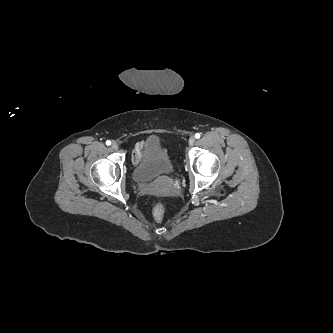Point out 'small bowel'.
Segmentation results:
<instances>
[{"instance_id":"c3829d8e","label":"small bowel","mask_w":333,"mask_h":333,"mask_svg":"<svg viewBox=\"0 0 333 333\" xmlns=\"http://www.w3.org/2000/svg\"><path fill=\"white\" fill-rule=\"evenodd\" d=\"M143 154H144V144L143 143H138L131 155L132 161L134 164H137L141 161V159L143 158Z\"/></svg>"}]
</instances>
